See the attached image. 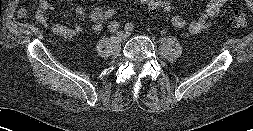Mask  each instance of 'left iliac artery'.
Here are the masks:
<instances>
[{"label":"left iliac artery","instance_id":"1","mask_svg":"<svg viewBox=\"0 0 253 131\" xmlns=\"http://www.w3.org/2000/svg\"><path fill=\"white\" fill-rule=\"evenodd\" d=\"M134 29V25L132 23H127L125 25V30L126 31H132Z\"/></svg>","mask_w":253,"mask_h":131}]
</instances>
